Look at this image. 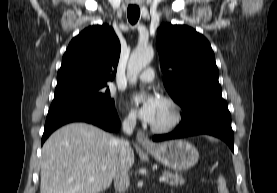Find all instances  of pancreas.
I'll list each match as a JSON object with an SVG mask.
<instances>
[{
    "label": "pancreas",
    "instance_id": "obj_1",
    "mask_svg": "<svg viewBox=\"0 0 277 193\" xmlns=\"http://www.w3.org/2000/svg\"><path fill=\"white\" fill-rule=\"evenodd\" d=\"M163 176L167 177V183H169L170 186L174 185H183L184 184V178L179 174H173L169 171H164Z\"/></svg>",
    "mask_w": 277,
    "mask_h": 193
}]
</instances>
